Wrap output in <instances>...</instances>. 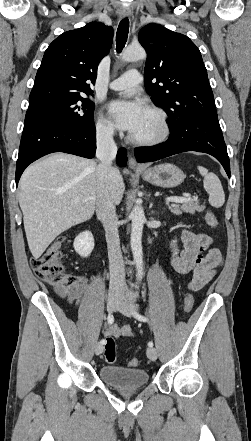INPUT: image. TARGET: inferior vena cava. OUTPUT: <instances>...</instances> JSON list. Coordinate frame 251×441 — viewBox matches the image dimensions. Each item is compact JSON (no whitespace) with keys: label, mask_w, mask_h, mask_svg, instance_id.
Listing matches in <instances>:
<instances>
[{"label":"inferior vena cava","mask_w":251,"mask_h":441,"mask_svg":"<svg viewBox=\"0 0 251 441\" xmlns=\"http://www.w3.org/2000/svg\"><path fill=\"white\" fill-rule=\"evenodd\" d=\"M113 134V129L99 130L96 150V157L100 161L97 167L96 215L105 229L110 269L109 292L111 294L120 293L126 288L124 261L115 210L116 197L112 192V161L117 153Z\"/></svg>","instance_id":"602c4592"}]
</instances>
